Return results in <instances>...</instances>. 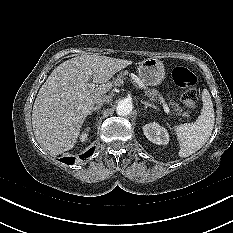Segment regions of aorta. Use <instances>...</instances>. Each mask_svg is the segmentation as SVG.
I'll list each match as a JSON object with an SVG mask.
<instances>
[{
	"mask_svg": "<svg viewBox=\"0 0 233 233\" xmlns=\"http://www.w3.org/2000/svg\"><path fill=\"white\" fill-rule=\"evenodd\" d=\"M133 105L131 100L129 99H123L121 100L116 108V112L120 116H127L132 113Z\"/></svg>",
	"mask_w": 233,
	"mask_h": 233,
	"instance_id": "1",
	"label": "aorta"
}]
</instances>
